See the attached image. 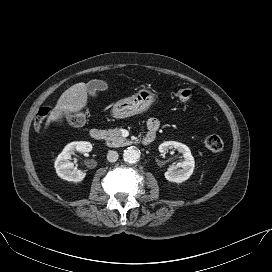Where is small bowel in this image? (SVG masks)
Wrapping results in <instances>:
<instances>
[{
  "label": "small bowel",
  "instance_id": "1",
  "mask_svg": "<svg viewBox=\"0 0 272 272\" xmlns=\"http://www.w3.org/2000/svg\"><path fill=\"white\" fill-rule=\"evenodd\" d=\"M146 128H147V134L149 133L155 134L159 128V121L153 117L148 118L146 120Z\"/></svg>",
  "mask_w": 272,
  "mask_h": 272
}]
</instances>
